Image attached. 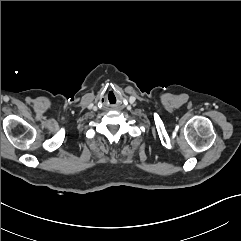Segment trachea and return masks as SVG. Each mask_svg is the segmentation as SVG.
<instances>
[{
    "mask_svg": "<svg viewBox=\"0 0 241 241\" xmlns=\"http://www.w3.org/2000/svg\"><path fill=\"white\" fill-rule=\"evenodd\" d=\"M109 97H110V101H109L110 104H112V105L115 104V102H116V101H115V97H116L115 94L112 93V94H110Z\"/></svg>",
    "mask_w": 241,
    "mask_h": 241,
    "instance_id": "trachea-1",
    "label": "trachea"
}]
</instances>
